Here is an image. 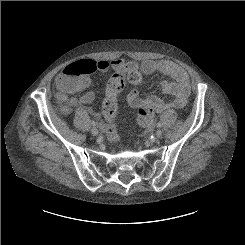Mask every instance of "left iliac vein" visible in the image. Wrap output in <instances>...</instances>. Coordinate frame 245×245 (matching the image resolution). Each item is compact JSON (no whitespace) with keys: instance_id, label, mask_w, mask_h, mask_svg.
Wrapping results in <instances>:
<instances>
[{"instance_id":"4c4485c4","label":"left iliac vein","mask_w":245,"mask_h":245,"mask_svg":"<svg viewBox=\"0 0 245 245\" xmlns=\"http://www.w3.org/2000/svg\"><path fill=\"white\" fill-rule=\"evenodd\" d=\"M156 138H160L162 136V130H157L155 133Z\"/></svg>"}]
</instances>
